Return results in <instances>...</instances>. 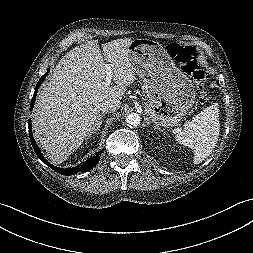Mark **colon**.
Listing matches in <instances>:
<instances>
[{"label": "colon", "instance_id": "obj_1", "mask_svg": "<svg viewBox=\"0 0 253 253\" xmlns=\"http://www.w3.org/2000/svg\"><path fill=\"white\" fill-rule=\"evenodd\" d=\"M167 52L196 83L198 92L205 95V70L197 51L193 47L170 43Z\"/></svg>", "mask_w": 253, "mask_h": 253}]
</instances>
